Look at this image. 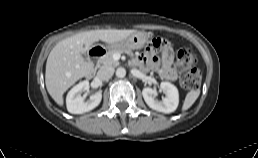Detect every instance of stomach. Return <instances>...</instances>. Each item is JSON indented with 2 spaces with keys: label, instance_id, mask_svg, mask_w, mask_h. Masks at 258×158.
Listing matches in <instances>:
<instances>
[{
  "label": "stomach",
  "instance_id": "1",
  "mask_svg": "<svg viewBox=\"0 0 258 158\" xmlns=\"http://www.w3.org/2000/svg\"><path fill=\"white\" fill-rule=\"evenodd\" d=\"M148 40V35L142 31H135L126 38L106 45V48L140 49Z\"/></svg>",
  "mask_w": 258,
  "mask_h": 158
}]
</instances>
